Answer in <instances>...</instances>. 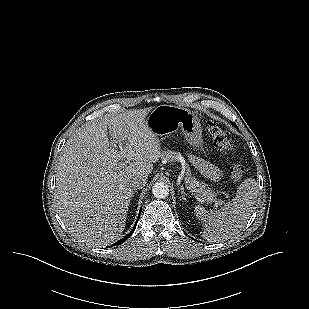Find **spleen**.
<instances>
[{
  "label": "spleen",
  "mask_w": 309,
  "mask_h": 309,
  "mask_svg": "<svg viewBox=\"0 0 309 309\" xmlns=\"http://www.w3.org/2000/svg\"><path fill=\"white\" fill-rule=\"evenodd\" d=\"M258 193L255 179L247 178L241 183L232 203L210 211L200 205L195 206L194 214L203 223V237L209 242H219L237 234L250 218Z\"/></svg>",
  "instance_id": "3e777b00"
}]
</instances>
